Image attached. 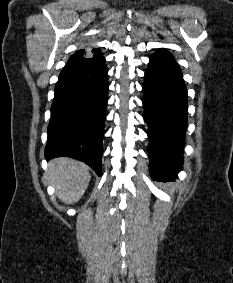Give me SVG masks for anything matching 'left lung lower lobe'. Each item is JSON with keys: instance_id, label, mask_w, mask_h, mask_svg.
I'll return each instance as SVG.
<instances>
[{"instance_id": "0a47b994", "label": "left lung lower lobe", "mask_w": 233, "mask_h": 283, "mask_svg": "<svg viewBox=\"0 0 233 283\" xmlns=\"http://www.w3.org/2000/svg\"><path fill=\"white\" fill-rule=\"evenodd\" d=\"M142 89L151 176L173 179L183 165L188 100L181 70L167 50L151 56Z\"/></svg>"}]
</instances>
